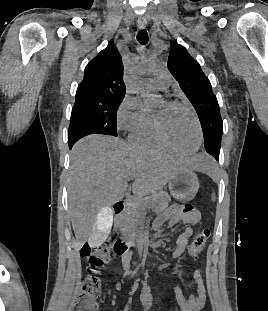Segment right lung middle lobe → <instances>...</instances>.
<instances>
[{"label":"right lung middle lobe","mask_w":268,"mask_h":311,"mask_svg":"<svg viewBox=\"0 0 268 311\" xmlns=\"http://www.w3.org/2000/svg\"><path fill=\"white\" fill-rule=\"evenodd\" d=\"M123 98L100 95L76 94L68 135L89 129L94 134L117 136V110Z\"/></svg>","instance_id":"1"}]
</instances>
